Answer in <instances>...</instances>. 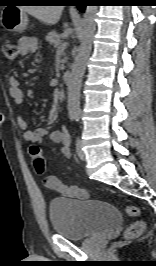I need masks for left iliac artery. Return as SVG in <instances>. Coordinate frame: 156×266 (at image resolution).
<instances>
[{"mask_svg": "<svg viewBox=\"0 0 156 266\" xmlns=\"http://www.w3.org/2000/svg\"><path fill=\"white\" fill-rule=\"evenodd\" d=\"M79 116L77 115V116H75V119H76V121H79Z\"/></svg>", "mask_w": 156, "mask_h": 266, "instance_id": "44dca946", "label": "left iliac artery"}]
</instances>
